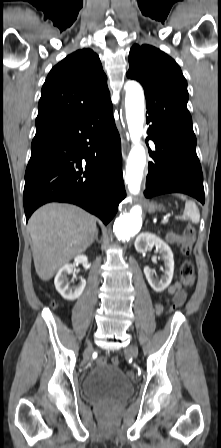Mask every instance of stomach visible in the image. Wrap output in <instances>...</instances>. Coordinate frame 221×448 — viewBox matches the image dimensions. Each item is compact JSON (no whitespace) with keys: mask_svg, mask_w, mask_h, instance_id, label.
Masks as SVG:
<instances>
[{"mask_svg":"<svg viewBox=\"0 0 221 448\" xmlns=\"http://www.w3.org/2000/svg\"><path fill=\"white\" fill-rule=\"evenodd\" d=\"M159 208H160V206L156 205L155 203H150V204L148 205V211H149L150 213L155 212V211L158 210Z\"/></svg>","mask_w":221,"mask_h":448,"instance_id":"obj_1","label":"stomach"}]
</instances>
